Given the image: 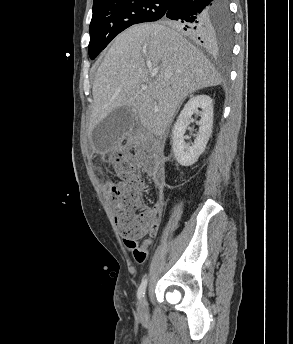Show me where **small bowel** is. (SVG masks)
<instances>
[{
  "label": "small bowel",
  "instance_id": "c3829d8e",
  "mask_svg": "<svg viewBox=\"0 0 293 344\" xmlns=\"http://www.w3.org/2000/svg\"><path fill=\"white\" fill-rule=\"evenodd\" d=\"M163 204V200L160 199L155 205V209L159 210ZM151 238H138V239H125V247L132 253L134 259L138 263H143L148 255V248L151 245Z\"/></svg>",
  "mask_w": 293,
  "mask_h": 344
}]
</instances>
